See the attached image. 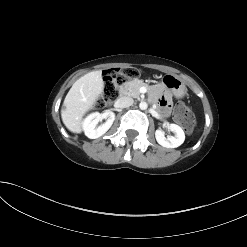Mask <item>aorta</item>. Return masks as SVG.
<instances>
[{
    "mask_svg": "<svg viewBox=\"0 0 247 247\" xmlns=\"http://www.w3.org/2000/svg\"><path fill=\"white\" fill-rule=\"evenodd\" d=\"M139 108H140L141 110H146V109L148 108V104H147L146 102L142 101V102H140V104H139Z\"/></svg>",
    "mask_w": 247,
    "mask_h": 247,
    "instance_id": "1",
    "label": "aorta"
}]
</instances>
